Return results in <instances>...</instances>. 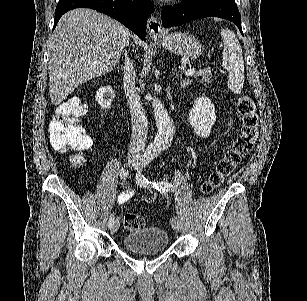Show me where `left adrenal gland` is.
Returning <instances> with one entry per match:
<instances>
[{"label":"left adrenal gland","instance_id":"a2214340","mask_svg":"<svg viewBox=\"0 0 307 301\" xmlns=\"http://www.w3.org/2000/svg\"><path fill=\"white\" fill-rule=\"evenodd\" d=\"M190 82H191L190 78H185V80H181L180 88H186V86H188V84H190Z\"/></svg>","mask_w":307,"mask_h":301}]
</instances>
